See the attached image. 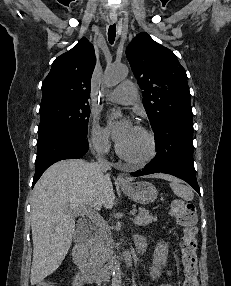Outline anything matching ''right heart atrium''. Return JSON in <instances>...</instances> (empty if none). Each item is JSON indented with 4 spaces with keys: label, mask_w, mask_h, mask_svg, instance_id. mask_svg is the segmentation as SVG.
Instances as JSON below:
<instances>
[{
    "label": "right heart atrium",
    "mask_w": 231,
    "mask_h": 286,
    "mask_svg": "<svg viewBox=\"0 0 231 286\" xmlns=\"http://www.w3.org/2000/svg\"><path fill=\"white\" fill-rule=\"evenodd\" d=\"M89 145L97 153H105L110 148V138L107 130L103 128L97 118L91 123Z\"/></svg>",
    "instance_id": "right-heart-atrium-1"
}]
</instances>
